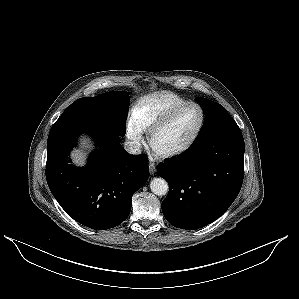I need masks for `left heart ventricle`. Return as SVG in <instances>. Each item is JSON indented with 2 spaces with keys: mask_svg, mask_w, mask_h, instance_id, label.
<instances>
[{
  "mask_svg": "<svg viewBox=\"0 0 299 299\" xmlns=\"http://www.w3.org/2000/svg\"><path fill=\"white\" fill-rule=\"evenodd\" d=\"M201 112L191 106L184 110L169 126L157 132L152 146L157 152H169L186 144L195 133Z\"/></svg>",
  "mask_w": 299,
  "mask_h": 299,
  "instance_id": "obj_1",
  "label": "left heart ventricle"
}]
</instances>
